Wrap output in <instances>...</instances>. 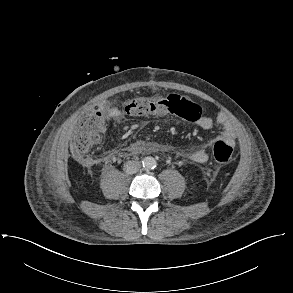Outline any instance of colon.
I'll return each mask as SVG.
<instances>
[{"label":"colon","mask_w":293,"mask_h":293,"mask_svg":"<svg viewBox=\"0 0 293 293\" xmlns=\"http://www.w3.org/2000/svg\"><path fill=\"white\" fill-rule=\"evenodd\" d=\"M123 113L130 117L173 115L190 121L201 117V108L182 94H171L161 99L138 97L124 106ZM107 123L106 115L97 111L85 117L78 125L72 143V152L82 157L102 138ZM216 161L227 164L233 158V147L219 140L213 145Z\"/></svg>","instance_id":"1"}]
</instances>
